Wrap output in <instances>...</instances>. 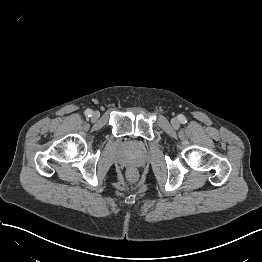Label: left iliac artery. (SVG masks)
I'll use <instances>...</instances> for the list:
<instances>
[{
  "label": "left iliac artery",
  "instance_id": "obj_1",
  "mask_svg": "<svg viewBox=\"0 0 262 262\" xmlns=\"http://www.w3.org/2000/svg\"><path fill=\"white\" fill-rule=\"evenodd\" d=\"M179 120L181 121V123H185L186 122V119L183 115H180L179 116Z\"/></svg>",
  "mask_w": 262,
  "mask_h": 262
}]
</instances>
